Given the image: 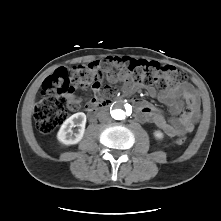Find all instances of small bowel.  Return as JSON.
<instances>
[{
    "label": "small bowel",
    "instance_id": "1",
    "mask_svg": "<svg viewBox=\"0 0 221 221\" xmlns=\"http://www.w3.org/2000/svg\"><path fill=\"white\" fill-rule=\"evenodd\" d=\"M120 60L119 58L109 59L118 71L115 72L110 67H105L106 80L110 84L122 82L124 93L131 94L138 84L123 69ZM92 90L94 96L86 104L87 108L95 105L100 99V84L92 87ZM147 91L151 97L157 98L168 106L172 117L166 119L163 113L154 105L145 101H136L138 120L155 124L170 137L181 136L194 130L200 118V103L191 85L183 82L162 90L149 87ZM71 105L73 109H77L80 107V101L73 99Z\"/></svg>",
    "mask_w": 221,
    "mask_h": 221
}]
</instances>
